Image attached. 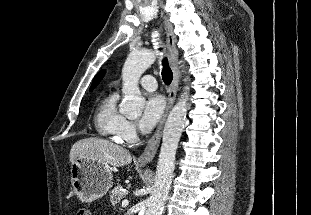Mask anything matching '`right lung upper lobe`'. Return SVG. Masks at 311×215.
Here are the masks:
<instances>
[{
    "label": "right lung upper lobe",
    "mask_w": 311,
    "mask_h": 215,
    "mask_svg": "<svg viewBox=\"0 0 311 215\" xmlns=\"http://www.w3.org/2000/svg\"><path fill=\"white\" fill-rule=\"evenodd\" d=\"M104 75L105 71L102 70L95 76L90 91H92L98 85V83L100 82V80L103 78Z\"/></svg>",
    "instance_id": "cb5924a9"
}]
</instances>
